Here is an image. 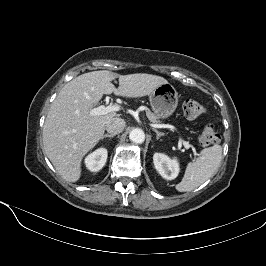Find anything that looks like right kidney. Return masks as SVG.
<instances>
[{"label":"right kidney","mask_w":266,"mask_h":266,"mask_svg":"<svg viewBox=\"0 0 266 266\" xmlns=\"http://www.w3.org/2000/svg\"><path fill=\"white\" fill-rule=\"evenodd\" d=\"M107 150L105 148H99L93 153L89 154L85 159L86 167L92 171L97 172L103 168L107 160Z\"/></svg>","instance_id":"obj_1"}]
</instances>
